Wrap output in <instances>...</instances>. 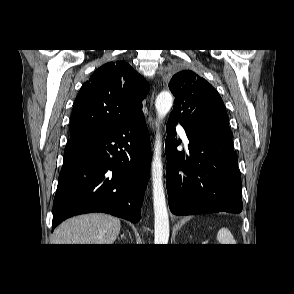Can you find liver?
<instances>
[{
	"label": "liver",
	"mask_w": 294,
	"mask_h": 294,
	"mask_svg": "<svg viewBox=\"0 0 294 294\" xmlns=\"http://www.w3.org/2000/svg\"><path fill=\"white\" fill-rule=\"evenodd\" d=\"M121 228L120 219L90 213L66 220L54 231L53 244H113Z\"/></svg>",
	"instance_id": "liver-1"
}]
</instances>
